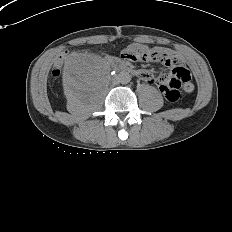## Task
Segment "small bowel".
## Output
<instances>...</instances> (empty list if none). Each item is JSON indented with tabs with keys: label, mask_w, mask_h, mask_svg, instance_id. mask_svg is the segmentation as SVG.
Instances as JSON below:
<instances>
[{
	"label": "small bowel",
	"mask_w": 232,
	"mask_h": 232,
	"mask_svg": "<svg viewBox=\"0 0 232 232\" xmlns=\"http://www.w3.org/2000/svg\"><path fill=\"white\" fill-rule=\"evenodd\" d=\"M134 49H138V48H145L144 46H140L138 44L133 45ZM155 51H159L161 54V59H164L165 64L167 66H170L172 68V72H174V68L176 66H180L182 67L181 64V58L180 56L173 50L168 49V48H157L155 49ZM109 59H113L112 57H109ZM157 59H153V58H148L147 61H154ZM184 68V67H183ZM140 77L141 79L149 85L152 84H156L159 87V90L162 92V87H163V83H164V78H154L149 72L142 70L140 72ZM185 90L187 92H191L193 90V84L191 83V81H188L185 85Z\"/></svg>",
	"instance_id": "obj_1"
}]
</instances>
